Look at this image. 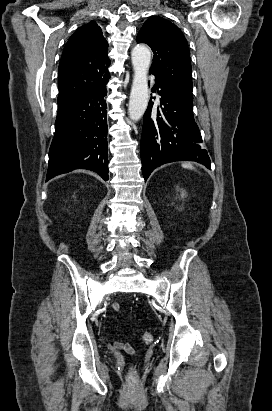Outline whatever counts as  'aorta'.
<instances>
[{"mask_svg": "<svg viewBox=\"0 0 272 411\" xmlns=\"http://www.w3.org/2000/svg\"><path fill=\"white\" fill-rule=\"evenodd\" d=\"M134 69L133 84L129 100V118L138 121L146 111L149 101L147 74L151 62V52L144 45H137L132 50Z\"/></svg>", "mask_w": 272, "mask_h": 411, "instance_id": "762f6f07", "label": "aorta"}]
</instances>
